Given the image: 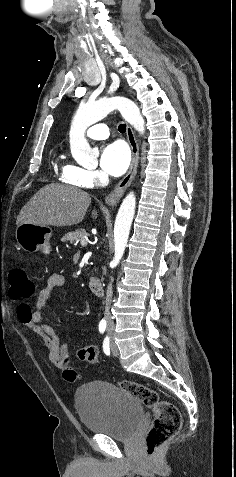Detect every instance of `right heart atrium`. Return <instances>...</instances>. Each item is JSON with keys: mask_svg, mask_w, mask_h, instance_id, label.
Segmentation results:
<instances>
[{"mask_svg": "<svg viewBox=\"0 0 236 477\" xmlns=\"http://www.w3.org/2000/svg\"><path fill=\"white\" fill-rule=\"evenodd\" d=\"M64 179L79 187H91L105 179L99 170H89L75 166H68L63 170Z\"/></svg>", "mask_w": 236, "mask_h": 477, "instance_id": "1", "label": "right heart atrium"}]
</instances>
